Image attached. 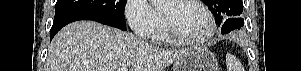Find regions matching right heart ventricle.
Listing matches in <instances>:
<instances>
[{"mask_svg":"<svg viewBox=\"0 0 301 71\" xmlns=\"http://www.w3.org/2000/svg\"><path fill=\"white\" fill-rule=\"evenodd\" d=\"M150 39L159 44H171L172 40L167 35L165 28L163 25H159L156 31L153 33V35L150 37Z\"/></svg>","mask_w":301,"mask_h":71,"instance_id":"obj_1","label":"right heart ventricle"}]
</instances>
